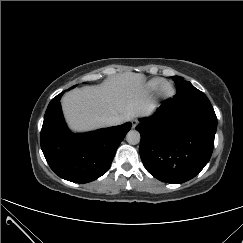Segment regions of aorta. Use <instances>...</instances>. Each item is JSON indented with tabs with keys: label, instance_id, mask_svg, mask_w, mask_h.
<instances>
[{
	"label": "aorta",
	"instance_id": "1",
	"mask_svg": "<svg viewBox=\"0 0 243 243\" xmlns=\"http://www.w3.org/2000/svg\"><path fill=\"white\" fill-rule=\"evenodd\" d=\"M140 133L136 130H130L126 135V140L131 145H136L140 142Z\"/></svg>",
	"mask_w": 243,
	"mask_h": 243
}]
</instances>
